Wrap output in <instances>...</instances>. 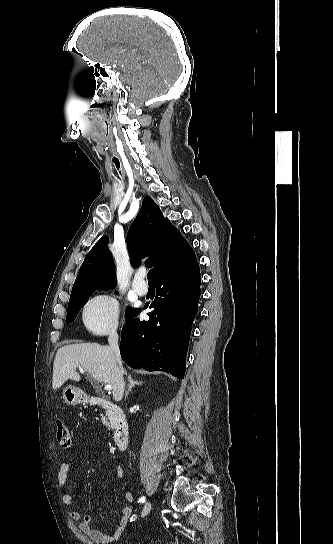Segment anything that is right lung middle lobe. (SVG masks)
Listing matches in <instances>:
<instances>
[{"label": "right lung middle lobe", "mask_w": 333, "mask_h": 544, "mask_svg": "<svg viewBox=\"0 0 333 544\" xmlns=\"http://www.w3.org/2000/svg\"><path fill=\"white\" fill-rule=\"evenodd\" d=\"M94 290L85 292L83 294L76 295L74 297H71L68 304V312L66 316V322H72L74 321L77 313L83 307L84 304L88 301L89 297L92 295ZM135 311V309L127 308L126 310V318L132 314Z\"/></svg>", "instance_id": "obj_1"}]
</instances>
